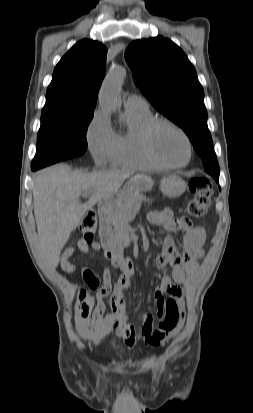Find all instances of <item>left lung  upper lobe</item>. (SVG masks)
<instances>
[{"instance_id": "1", "label": "left lung upper lobe", "mask_w": 253, "mask_h": 413, "mask_svg": "<svg viewBox=\"0 0 253 413\" xmlns=\"http://www.w3.org/2000/svg\"><path fill=\"white\" fill-rule=\"evenodd\" d=\"M135 84L157 111L180 126L202 158L204 170L219 176L204 91L186 54L162 36L133 41L125 52Z\"/></svg>"}]
</instances>
